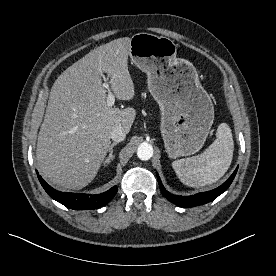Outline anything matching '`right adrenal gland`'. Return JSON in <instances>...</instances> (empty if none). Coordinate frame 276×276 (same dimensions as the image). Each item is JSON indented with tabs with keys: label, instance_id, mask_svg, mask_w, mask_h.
Segmentation results:
<instances>
[{
	"label": "right adrenal gland",
	"instance_id": "obj_1",
	"mask_svg": "<svg viewBox=\"0 0 276 276\" xmlns=\"http://www.w3.org/2000/svg\"><path fill=\"white\" fill-rule=\"evenodd\" d=\"M117 143H112L110 145V148H109V155L108 157L106 158V160L104 161V166H106L107 164H109L113 159H114V155H113V147L116 146Z\"/></svg>",
	"mask_w": 276,
	"mask_h": 276
}]
</instances>
